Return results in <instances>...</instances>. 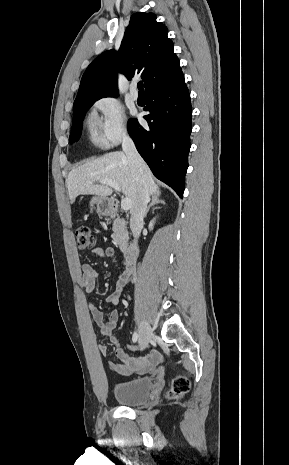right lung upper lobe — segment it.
<instances>
[{
	"label": "right lung upper lobe",
	"instance_id": "1",
	"mask_svg": "<svg viewBox=\"0 0 289 465\" xmlns=\"http://www.w3.org/2000/svg\"><path fill=\"white\" fill-rule=\"evenodd\" d=\"M167 31L166 26L156 21L155 14H133L119 51L103 52L86 69L74 104L116 97L118 72L128 80L140 75L146 93L183 78Z\"/></svg>",
	"mask_w": 289,
	"mask_h": 465
}]
</instances>
